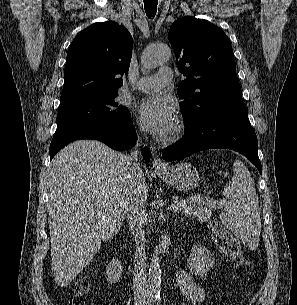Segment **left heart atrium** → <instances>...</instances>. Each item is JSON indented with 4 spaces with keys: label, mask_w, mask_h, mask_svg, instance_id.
Wrapping results in <instances>:
<instances>
[{
    "label": "left heart atrium",
    "mask_w": 297,
    "mask_h": 305,
    "mask_svg": "<svg viewBox=\"0 0 297 305\" xmlns=\"http://www.w3.org/2000/svg\"><path fill=\"white\" fill-rule=\"evenodd\" d=\"M137 113L141 124L156 136L168 135L175 126V109L167 97L151 96L144 99Z\"/></svg>",
    "instance_id": "obj_1"
}]
</instances>
